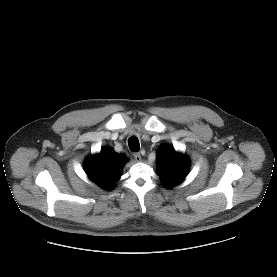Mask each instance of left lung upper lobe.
<instances>
[{
    "label": "left lung upper lobe",
    "mask_w": 277,
    "mask_h": 277,
    "mask_svg": "<svg viewBox=\"0 0 277 277\" xmlns=\"http://www.w3.org/2000/svg\"><path fill=\"white\" fill-rule=\"evenodd\" d=\"M189 170L188 159L172 146H163L157 153V174L162 183L171 188L181 183Z\"/></svg>",
    "instance_id": "left-lung-upper-lobe-1"
}]
</instances>
